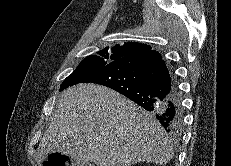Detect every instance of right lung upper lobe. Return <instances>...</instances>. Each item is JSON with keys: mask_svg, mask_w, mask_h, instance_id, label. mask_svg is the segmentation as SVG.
I'll list each match as a JSON object with an SVG mask.
<instances>
[{"mask_svg": "<svg viewBox=\"0 0 231 166\" xmlns=\"http://www.w3.org/2000/svg\"><path fill=\"white\" fill-rule=\"evenodd\" d=\"M108 49L109 47H106L99 53H109L110 55L115 56L116 60L129 55H138L152 51L149 45L139 42H128L125 43L123 46L115 45V47L112 48L111 52H108Z\"/></svg>", "mask_w": 231, "mask_h": 166, "instance_id": "cb5924a9", "label": "right lung upper lobe"}]
</instances>
